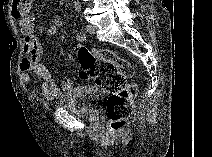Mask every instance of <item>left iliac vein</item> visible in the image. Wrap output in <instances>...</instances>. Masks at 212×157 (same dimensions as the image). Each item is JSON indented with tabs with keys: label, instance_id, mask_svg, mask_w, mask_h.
Listing matches in <instances>:
<instances>
[{
	"label": "left iliac vein",
	"instance_id": "4c4485c4",
	"mask_svg": "<svg viewBox=\"0 0 212 157\" xmlns=\"http://www.w3.org/2000/svg\"><path fill=\"white\" fill-rule=\"evenodd\" d=\"M86 30H87V32H89L90 34H95V32H96V27H95L94 25H92V24H88V25L86 26Z\"/></svg>",
	"mask_w": 212,
	"mask_h": 157
}]
</instances>
